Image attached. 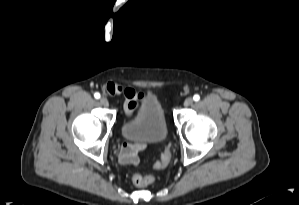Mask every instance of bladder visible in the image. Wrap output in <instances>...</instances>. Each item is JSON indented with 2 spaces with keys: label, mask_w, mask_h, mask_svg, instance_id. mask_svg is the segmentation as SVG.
Instances as JSON below:
<instances>
[{
  "label": "bladder",
  "mask_w": 299,
  "mask_h": 205,
  "mask_svg": "<svg viewBox=\"0 0 299 205\" xmlns=\"http://www.w3.org/2000/svg\"><path fill=\"white\" fill-rule=\"evenodd\" d=\"M120 134L126 140L145 144L160 143L167 139L169 126L157 96H144L137 111L123 120Z\"/></svg>",
  "instance_id": "1"
}]
</instances>
